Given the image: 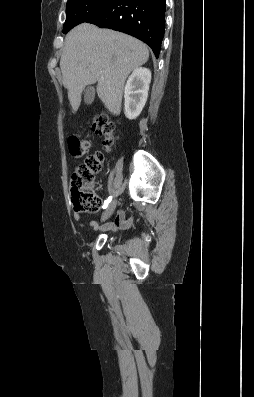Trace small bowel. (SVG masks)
Masks as SVG:
<instances>
[{"label":"small bowel","mask_w":254,"mask_h":397,"mask_svg":"<svg viewBox=\"0 0 254 397\" xmlns=\"http://www.w3.org/2000/svg\"><path fill=\"white\" fill-rule=\"evenodd\" d=\"M74 218L76 221L80 220V215L78 213L74 214ZM133 222V218L125 219L123 211L119 210L116 214L115 220L113 222H110L104 226H97L94 222L90 223V226H92L95 230H100V231H116L118 228H127L129 227Z\"/></svg>","instance_id":"obj_1"}]
</instances>
